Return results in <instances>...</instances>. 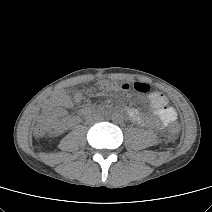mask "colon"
Here are the masks:
<instances>
[{
    "label": "colon",
    "instance_id": "colon-1",
    "mask_svg": "<svg viewBox=\"0 0 212 212\" xmlns=\"http://www.w3.org/2000/svg\"><path fill=\"white\" fill-rule=\"evenodd\" d=\"M96 89L104 94L111 92H140L148 93L150 86L145 83H136L130 80H106L101 79L96 82ZM52 124L50 121L45 120L35 125L34 134L37 137H42L51 131ZM179 132L177 125H172L169 129V136L175 138Z\"/></svg>",
    "mask_w": 212,
    "mask_h": 212
}]
</instances>
